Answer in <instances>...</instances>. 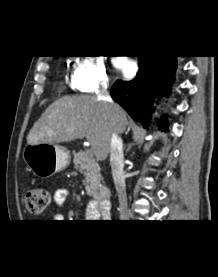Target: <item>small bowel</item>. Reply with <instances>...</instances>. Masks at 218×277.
Listing matches in <instances>:
<instances>
[{
    "instance_id": "c3829d8e",
    "label": "small bowel",
    "mask_w": 218,
    "mask_h": 277,
    "mask_svg": "<svg viewBox=\"0 0 218 277\" xmlns=\"http://www.w3.org/2000/svg\"><path fill=\"white\" fill-rule=\"evenodd\" d=\"M70 194L69 191L66 189H58L55 193H54V203L58 206V207H63L65 206L68 198H69ZM100 216V212L97 208V206L93 203L90 202L87 205V217L90 219H95L97 217ZM54 218H62L61 215L57 214L54 216Z\"/></svg>"
}]
</instances>
